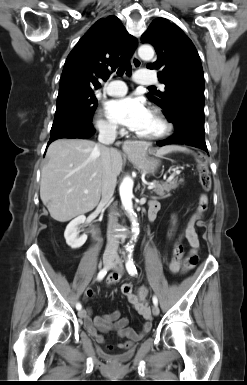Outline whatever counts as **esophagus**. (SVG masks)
<instances>
[{"label":"esophagus","mask_w":247,"mask_h":385,"mask_svg":"<svg viewBox=\"0 0 247 385\" xmlns=\"http://www.w3.org/2000/svg\"><path fill=\"white\" fill-rule=\"evenodd\" d=\"M141 60L139 59V57L137 56L136 53H134L133 57H132V65L135 69H138L141 67ZM140 146V144L136 143V142H133V141H125L124 142V145H123V148L126 152H132V150L134 149H137L138 147Z\"/></svg>","instance_id":"esophagus-1"}]
</instances>
